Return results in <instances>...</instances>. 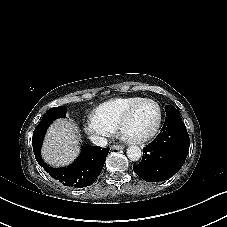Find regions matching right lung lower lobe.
Wrapping results in <instances>:
<instances>
[{
	"instance_id": "obj_1",
	"label": "right lung lower lobe",
	"mask_w": 227,
	"mask_h": 227,
	"mask_svg": "<svg viewBox=\"0 0 227 227\" xmlns=\"http://www.w3.org/2000/svg\"><path fill=\"white\" fill-rule=\"evenodd\" d=\"M49 124L37 125L33 132L32 145L37 162L51 177L65 186L83 188L94 183L100 175L110 148L83 146L78 159L68 167L52 168L41 159V144Z\"/></svg>"
}]
</instances>
